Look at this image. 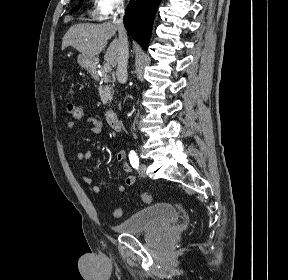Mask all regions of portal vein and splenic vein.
<instances>
[{
	"label": "portal vein and splenic vein",
	"instance_id": "1",
	"mask_svg": "<svg viewBox=\"0 0 288 280\" xmlns=\"http://www.w3.org/2000/svg\"><path fill=\"white\" fill-rule=\"evenodd\" d=\"M111 70H112L111 65L109 63H105L103 66V71L106 73H109V72H111Z\"/></svg>",
	"mask_w": 288,
	"mask_h": 280
}]
</instances>
